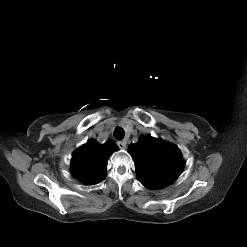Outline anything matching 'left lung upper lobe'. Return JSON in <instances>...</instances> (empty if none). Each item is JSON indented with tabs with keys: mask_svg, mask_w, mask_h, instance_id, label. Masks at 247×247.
<instances>
[{
	"mask_svg": "<svg viewBox=\"0 0 247 247\" xmlns=\"http://www.w3.org/2000/svg\"><path fill=\"white\" fill-rule=\"evenodd\" d=\"M128 152L134 160L138 180L149 189H161L173 183L185 165L175 145L150 135L130 144Z\"/></svg>",
	"mask_w": 247,
	"mask_h": 247,
	"instance_id": "obj_1",
	"label": "left lung upper lobe"
}]
</instances>
